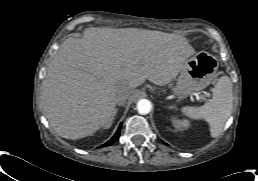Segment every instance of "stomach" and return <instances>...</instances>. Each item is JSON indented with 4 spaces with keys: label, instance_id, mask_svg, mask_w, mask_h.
Returning a JSON list of instances; mask_svg holds the SVG:
<instances>
[{
    "label": "stomach",
    "instance_id": "stomach-1",
    "mask_svg": "<svg viewBox=\"0 0 258 181\" xmlns=\"http://www.w3.org/2000/svg\"><path fill=\"white\" fill-rule=\"evenodd\" d=\"M218 65L217 59L210 53H196L186 60L172 88L173 94L178 99H184L193 92L206 88L214 80Z\"/></svg>",
    "mask_w": 258,
    "mask_h": 181
}]
</instances>
